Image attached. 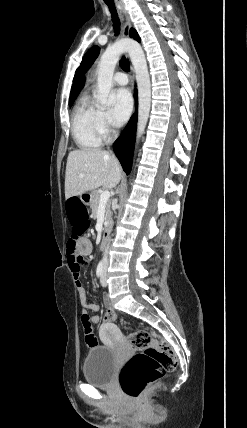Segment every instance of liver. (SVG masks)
Segmentation results:
<instances>
[{
  "label": "liver",
  "instance_id": "liver-1",
  "mask_svg": "<svg viewBox=\"0 0 247 428\" xmlns=\"http://www.w3.org/2000/svg\"><path fill=\"white\" fill-rule=\"evenodd\" d=\"M122 176L118 159L105 150L71 151L65 172V198L82 195L98 187L112 189Z\"/></svg>",
  "mask_w": 247,
  "mask_h": 428
}]
</instances>
